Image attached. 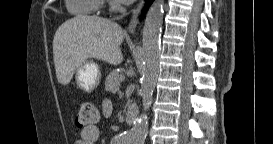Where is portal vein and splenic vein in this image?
Returning a JSON list of instances; mask_svg holds the SVG:
<instances>
[{
    "mask_svg": "<svg viewBox=\"0 0 273 144\" xmlns=\"http://www.w3.org/2000/svg\"><path fill=\"white\" fill-rule=\"evenodd\" d=\"M125 79V76L124 75H121L120 76V80L123 81Z\"/></svg>",
    "mask_w": 273,
    "mask_h": 144,
    "instance_id": "1",
    "label": "portal vein and splenic vein"
}]
</instances>
